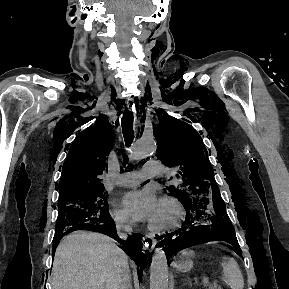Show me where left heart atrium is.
<instances>
[{"label": "left heart atrium", "instance_id": "1", "mask_svg": "<svg viewBox=\"0 0 289 289\" xmlns=\"http://www.w3.org/2000/svg\"><path fill=\"white\" fill-rule=\"evenodd\" d=\"M125 212L136 221L154 218L160 203L151 189H140L126 193L121 200Z\"/></svg>", "mask_w": 289, "mask_h": 289}]
</instances>
